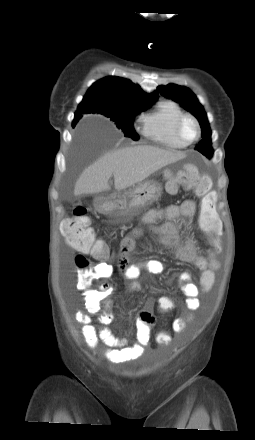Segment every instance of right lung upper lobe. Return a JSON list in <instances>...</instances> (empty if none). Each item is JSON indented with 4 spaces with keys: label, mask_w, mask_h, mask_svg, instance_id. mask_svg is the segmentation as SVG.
I'll use <instances>...</instances> for the list:
<instances>
[{
    "label": "right lung upper lobe",
    "mask_w": 255,
    "mask_h": 440,
    "mask_svg": "<svg viewBox=\"0 0 255 440\" xmlns=\"http://www.w3.org/2000/svg\"><path fill=\"white\" fill-rule=\"evenodd\" d=\"M84 97L112 104L153 103L158 99V93L145 94L138 85H135L130 80L110 76L95 82ZM78 119L79 116L75 113L73 125Z\"/></svg>",
    "instance_id": "cb5924a9"
}]
</instances>
